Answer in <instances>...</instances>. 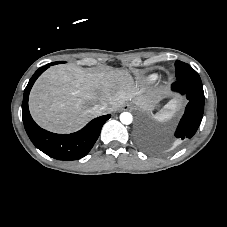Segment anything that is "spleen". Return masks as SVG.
I'll return each mask as SVG.
<instances>
[{
    "label": "spleen",
    "instance_id": "spleen-1",
    "mask_svg": "<svg viewBox=\"0 0 227 227\" xmlns=\"http://www.w3.org/2000/svg\"><path fill=\"white\" fill-rule=\"evenodd\" d=\"M176 109H177V105L174 104V103H170V104L167 105V107L164 110L157 113L154 116V118L157 121H161V122L166 121L174 115V112L176 111Z\"/></svg>",
    "mask_w": 227,
    "mask_h": 227
}]
</instances>
